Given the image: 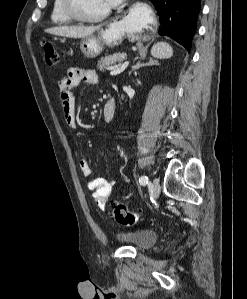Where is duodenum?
<instances>
[{
	"label": "duodenum",
	"mask_w": 247,
	"mask_h": 299,
	"mask_svg": "<svg viewBox=\"0 0 247 299\" xmlns=\"http://www.w3.org/2000/svg\"><path fill=\"white\" fill-rule=\"evenodd\" d=\"M115 114V103L114 101H109L106 103L103 110V118L106 122H109L113 119Z\"/></svg>",
	"instance_id": "410a0bca"
}]
</instances>
